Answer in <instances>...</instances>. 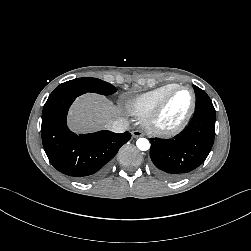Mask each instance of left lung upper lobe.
Here are the masks:
<instances>
[{
    "instance_id": "5c2ea615",
    "label": "left lung upper lobe",
    "mask_w": 251,
    "mask_h": 251,
    "mask_svg": "<svg viewBox=\"0 0 251 251\" xmlns=\"http://www.w3.org/2000/svg\"><path fill=\"white\" fill-rule=\"evenodd\" d=\"M196 93V106L195 111L204 110L207 112L215 113L214 106L209 96L199 87L193 86Z\"/></svg>"
}]
</instances>
